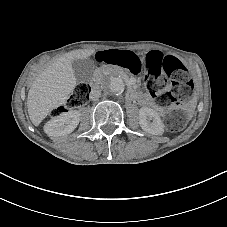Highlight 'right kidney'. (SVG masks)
<instances>
[{
    "label": "right kidney",
    "instance_id": "ca27d5eb",
    "mask_svg": "<svg viewBox=\"0 0 227 227\" xmlns=\"http://www.w3.org/2000/svg\"><path fill=\"white\" fill-rule=\"evenodd\" d=\"M80 120L78 111H68L50 120L44 130L49 136L67 135L77 127Z\"/></svg>",
    "mask_w": 227,
    "mask_h": 227
}]
</instances>
